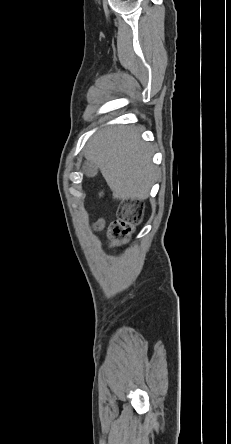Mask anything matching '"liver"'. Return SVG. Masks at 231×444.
Returning a JSON list of instances; mask_svg holds the SVG:
<instances>
[{
    "label": "liver",
    "instance_id": "6515ba94",
    "mask_svg": "<svg viewBox=\"0 0 231 444\" xmlns=\"http://www.w3.org/2000/svg\"><path fill=\"white\" fill-rule=\"evenodd\" d=\"M152 148L133 126L98 132L85 147V156L100 169L113 198L144 200L157 178Z\"/></svg>",
    "mask_w": 231,
    "mask_h": 444
}]
</instances>
